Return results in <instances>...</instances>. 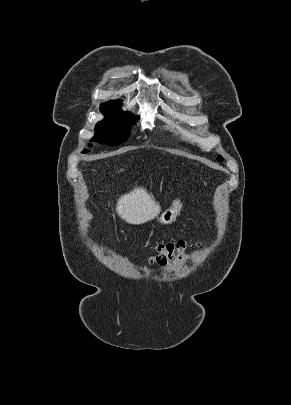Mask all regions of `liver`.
I'll return each mask as SVG.
<instances>
[{
  "mask_svg": "<svg viewBox=\"0 0 291 405\" xmlns=\"http://www.w3.org/2000/svg\"><path fill=\"white\" fill-rule=\"evenodd\" d=\"M161 207L142 187L122 195L116 206L117 214L130 224H143L158 216Z\"/></svg>",
  "mask_w": 291,
  "mask_h": 405,
  "instance_id": "obj_1",
  "label": "liver"
}]
</instances>
